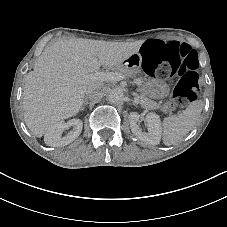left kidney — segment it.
I'll list each match as a JSON object with an SVG mask.
<instances>
[{
  "label": "left kidney",
  "mask_w": 227,
  "mask_h": 227,
  "mask_svg": "<svg viewBox=\"0 0 227 227\" xmlns=\"http://www.w3.org/2000/svg\"><path fill=\"white\" fill-rule=\"evenodd\" d=\"M139 114L137 112H131L130 128L132 133L141 141L147 145H158L161 139L162 127L159 115L150 112L146 115L145 121L147 124L148 132H143L137 122L139 121Z\"/></svg>",
  "instance_id": "left-kidney-1"
}]
</instances>
